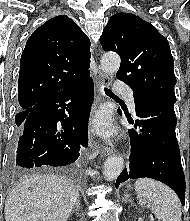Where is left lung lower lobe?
Returning <instances> with one entry per match:
<instances>
[{"instance_id": "0a47b994", "label": "left lung lower lobe", "mask_w": 190, "mask_h": 221, "mask_svg": "<svg viewBox=\"0 0 190 221\" xmlns=\"http://www.w3.org/2000/svg\"><path fill=\"white\" fill-rule=\"evenodd\" d=\"M138 119L128 122L131 156L128 169L116 180V188L129 178L148 177L171 187L185 204V177L176 139L174 103L158 98L134 97Z\"/></svg>"}]
</instances>
